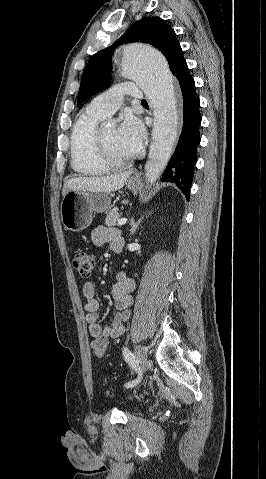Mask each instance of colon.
I'll use <instances>...</instances> for the list:
<instances>
[{
  "label": "colon",
  "instance_id": "5ec220e1",
  "mask_svg": "<svg viewBox=\"0 0 266 479\" xmlns=\"http://www.w3.org/2000/svg\"><path fill=\"white\" fill-rule=\"evenodd\" d=\"M72 263L80 276L89 277L95 267V257L93 254L77 248L73 251ZM106 349V338H97L92 342V351L97 358H103Z\"/></svg>",
  "mask_w": 266,
  "mask_h": 479
}]
</instances>
